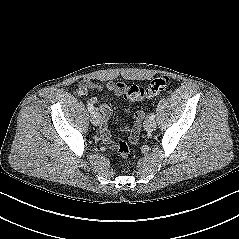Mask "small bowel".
Returning <instances> with one entry per match:
<instances>
[{"label":"small bowel","instance_id":"1","mask_svg":"<svg viewBox=\"0 0 239 239\" xmlns=\"http://www.w3.org/2000/svg\"><path fill=\"white\" fill-rule=\"evenodd\" d=\"M125 85L122 82L110 81L106 84H99L96 82H92L90 80H82L78 83L75 93L79 96L86 95L90 92L94 91H108L113 93L115 96H122L124 94ZM91 104L98 105V109L101 113V125H100V132H101V139L102 141L108 145L112 146L113 142L111 139V135L107 126L108 120L112 115V108L106 104L101 103L99 104L97 98L93 97L90 100ZM140 116H138V120H140ZM126 131L129 132V139L132 143H136L138 140L139 134L134 132V128L128 129L125 128Z\"/></svg>","mask_w":239,"mask_h":239}]
</instances>
